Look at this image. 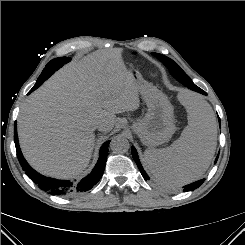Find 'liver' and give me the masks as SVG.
<instances>
[{
    "label": "liver",
    "instance_id": "1",
    "mask_svg": "<svg viewBox=\"0 0 245 245\" xmlns=\"http://www.w3.org/2000/svg\"><path fill=\"white\" fill-rule=\"evenodd\" d=\"M139 90L122 49L98 50L55 73L22 105L18 136L38 172L72 178L88 166L98 123L110 132L116 113L137 110Z\"/></svg>",
    "mask_w": 245,
    "mask_h": 245
}]
</instances>
